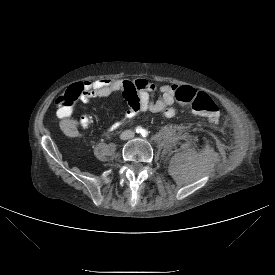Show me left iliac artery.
Instances as JSON below:
<instances>
[{
  "label": "left iliac artery",
  "mask_w": 275,
  "mask_h": 275,
  "mask_svg": "<svg viewBox=\"0 0 275 275\" xmlns=\"http://www.w3.org/2000/svg\"><path fill=\"white\" fill-rule=\"evenodd\" d=\"M142 136H143V137L148 136V131H147V130H143V132H142Z\"/></svg>",
  "instance_id": "1"
}]
</instances>
